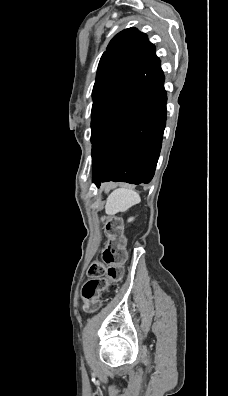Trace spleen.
I'll return each instance as SVG.
<instances>
[{
  "label": "spleen",
  "instance_id": "1",
  "mask_svg": "<svg viewBox=\"0 0 228 396\" xmlns=\"http://www.w3.org/2000/svg\"><path fill=\"white\" fill-rule=\"evenodd\" d=\"M140 202L139 194L128 188H117L107 198L105 211L109 215L125 212Z\"/></svg>",
  "mask_w": 228,
  "mask_h": 396
}]
</instances>
